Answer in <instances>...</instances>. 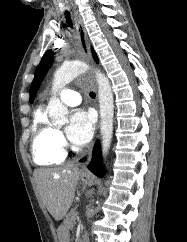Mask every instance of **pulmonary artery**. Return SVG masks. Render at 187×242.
I'll return each instance as SVG.
<instances>
[{
  "mask_svg": "<svg viewBox=\"0 0 187 242\" xmlns=\"http://www.w3.org/2000/svg\"><path fill=\"white\" fill-rule=\"evenodd\" d=\"M60 99L68 106H75L81 102L79 93L75 90L65 88L59 93Z\"/></svg>",
  "mask_w": 187,
  "mask_h": 242,
  "instance_id": "obj_1",
  "label": "pulmonary artery"
}]
</instances>
